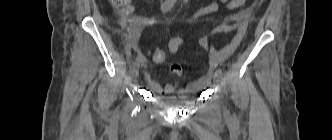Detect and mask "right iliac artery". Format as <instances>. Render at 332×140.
<instances>
[{
    "label": "right iliac artery",
    "mask_w": 332,
    "mask_h": 140,
    "mask_svg": "<svg viewBox=\"0 0 332 140\" xmlns=\"http://www.w3.org/2000/svg\"><path fill=\"white\" fill-rule=\"evenodd\" d=\"M176 0H165L161 6V11L163 13L168 12L175 4ZM144 57L142 54H139L136 58V62L143 61Z\"/></svg>",
    "instance_id": "1"
}]
</instances>
